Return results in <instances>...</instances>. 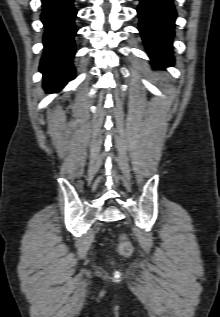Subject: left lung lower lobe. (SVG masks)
Segmentation results:
<instances>
[{
    "mask_svg": "<svg viewBox=\"0 0 220 317\" xmlns=\"http://www.w3.org/2000/svg\"><path fill=\"white\" fill-rule=\"evenodd\" d=\"M139 31L153 65L164 68L173 64L171 40L176 11L172 0H140L137 8Z\"/></svg>",
    "mask_w": 220,
    "mask_h": 317,
    "instance_id": "obj_1",
    "label": "left lung lower lobe"
}]
</instances>
